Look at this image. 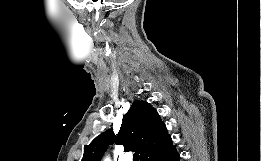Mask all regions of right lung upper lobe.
Listing matches in <instances>:
<instances>
[{
  "label": "right lung upper lobe",
  "mask_w": 261,
  "mask_h": 161,
  "mask_svg": "<svg viewBox=\"0 0 261 161\" xmlns=\"http://www.w3.org/2000/svg\"><path fill=\"white\" fill-rule=\"evenodd\" d=\"M116 142L125 151L140 152V161L151 153L172 143L164 122L157 111L147 102L136 100L123 117L120 131L115 136L112 130L98 135L84 146L81 161H100L108 145Z\"/></svg>",
  "instance_id": "1"
}]
</instances>
